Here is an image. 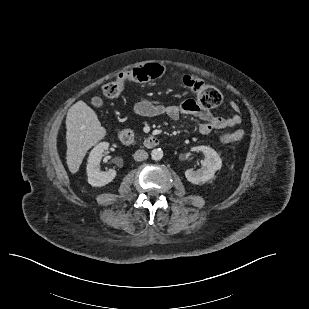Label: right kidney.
Wrapping results in <instances>:
<instances>
[{"mask_svg":"<svg viewBox=\"0 0 309 309\" xmlns=\"http://www.w3.org/2000/svg\"><path fill=\"white\" fill-rule=\"evenodd\" d=\"M109 143L101 142L97 144L90 152L87 164L88 183L93 187H102L113 181L116 176L114 169L101 171L100 162L103 152L108 150Z\"/></svg>","mask_w":309,"mask_h":309,"instance_id":"obj_1","label":"right kidney"}]
</instances>
